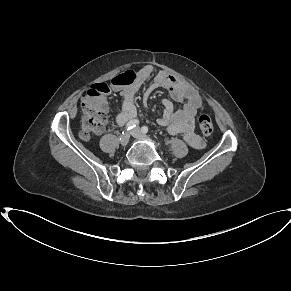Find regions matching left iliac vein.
Segmentation results:
<instances>
[{"mask_svg":"<svg viewBox=\"0 0 291 291\" xmlns=\"http://www.w3.org/2000/svg\"><path fill=\"white\" fill-rule=\"evenodd\" d=\"M132 136L138 139H146V140H150L146 135L142 134L139 128H135L132 131Z\"/></svg>","mask_w":291,"mask_h":291,"instance_id":"obj_1","label":"left iliac vein"}]
</instances>
